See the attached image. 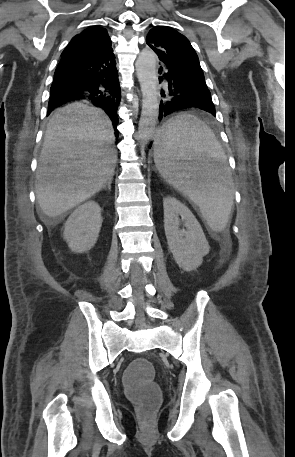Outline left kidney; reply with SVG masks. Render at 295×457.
I'll return each instance as SVG.
<instances>
[{
    "label": "left kidney",
    "mask_w": 295,
    "mask_h": 457,
    "mask_svg": "<svg viewBox=\"0 0 295 457\" xmlns=\"http://www.w3.org/2000/svg\"><path fill=\"white\" fill-rule=\"evenodd\" d=\"M164 229L175 262L185 271L198 268L209 253V244L193 213L174 197L163 199ZM179 216L185 229H179Z\"/></svg>",
    "instance_id": "1"
}]
</instances>
